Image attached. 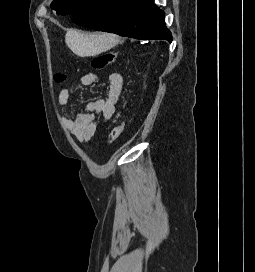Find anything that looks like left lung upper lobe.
<instances>
[{
	"instance_id": "5c2ea615",
	"label": "left lung upper lobe",
	"mask_w": 255,
	"mask_h": 272,
	"mask_svg": "<svg viewBox=\"0 0 255 272\" xmlns=\"http://www.w3.org/2000/svg\"><path fill=\"white\" fill-rule=\"evenodd\" d=\"M89 1L90 0H54L51 3V8L54 9L58 15H68L73 14Z\"/></svg>"
}]
</instances>
